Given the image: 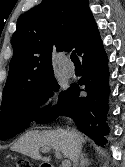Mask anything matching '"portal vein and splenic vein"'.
I'll use <instances>...</instances> for the list:
<instances>
[{"mask_svg": "<svg viewBox=\"0 0 125 167\" xmlns=\"http://www.w3.org/2000/svg\"><path fill=\"white\" fill-rule=\"evenodd\" d=\"M42 150H43L44 152H48V151L51 150V148H49V147H44ZM55 155H56V157L59 158V159L62 158L61 153H60L59 151H57V150L55 151ZM70 166H71L70 160H63V161H62V167H70Z\"/></svg>", "mask_w": 125, "mask_h": 167, "instance_id": "obj_1", "label": "portal vein and splenic vein"}]
</instances>
